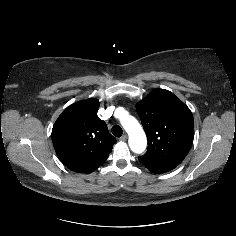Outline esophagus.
I'll use <instances>...</instances> for the list:
<instances>
[{
	"label": "esophagus",
	"instance_id": "34e87169",
	"mask_svg": "<svg viewBox=\"0 0 236 236\" xmlns=\"http://www.w3.org/2000/svg\"><path fill=\"white\" fill-rule=\"evenodd\" d=\"M127 138H128V137H127V135L125 134V135H123V136L120 138V140H121V141H126Z\"/></svg>",
	"mask_w": 236,
	"mask_h": 236
}]
</instances>
